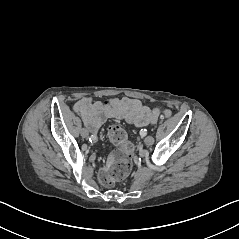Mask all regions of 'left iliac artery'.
Segmentation results:
<instances>
[{"instance_id": "1", "label": "left iliac artery", "mask_w": 239, "mask_h": 239, "mask_svg": "<svg viewBox=\"0 0 239 239\" xmlns=\"http://www.w3.org/2000/svg\"><path fill=\"white\" fill-rule=\"evenodd\" d=\"M140 135H141L142 137L146 136V135H147V130H146V129H142V130L140 131Z\"/></svg>"}]
</instances>
